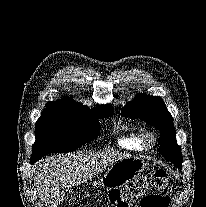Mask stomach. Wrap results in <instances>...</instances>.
<instances>
[{
    "instance_id": "stomach-1",
    "label": "stomach",
    "mask_w": 206,
    "mask_h": 207,
    "mask_svg": "<svg viewBox=\"0 0 206 207\" xmlns=\"http://www.w3.org/2000/svg\"><path fill=\"white\" fill-rule=\"evenodd\" d=\"M144 160L127 157L114 163L101 178V185L106 189H117L140 175L146 168Z\"/></svg>"
}]
</instances>
